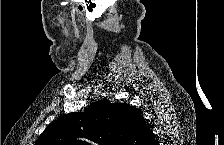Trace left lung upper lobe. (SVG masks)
<instances>
[{"mask_svg":"<svg viewBox=\"0 0 224 145\" xmlns=\"http://www.w3.org/2000/svg\"><path fill=\"white\" fill-rule=\"evenodd\" d=\"M137 115L127 103L103 99L53 121L36 145H128Z\"/></svg>","mask_w":224,"mask_h":145,"instance_id":"obj_1","label":"left lung upper lobe"}]
</instances>
